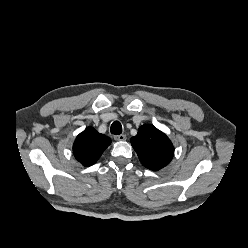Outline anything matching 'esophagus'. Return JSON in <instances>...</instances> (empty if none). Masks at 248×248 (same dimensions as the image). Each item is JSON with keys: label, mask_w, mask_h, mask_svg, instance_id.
Here are the masks:
<instances>
[{"label": "esophagus", "mask_w": 248, "mask_h": 248, "mask_svg": "<svg viewBox=\"0 0 248 248\" xmlns=\"http://www.w3.org/2000/svg\"><path fill=\"white\" fill-rule=\"evenodd\" d=\"M114 139H115L116 141H124V140L127 139V136H126L125 134L115 135V136H114Z\"/></svg>", "instance_id": "34e87169"}]
</instances>
